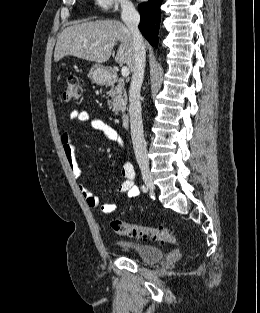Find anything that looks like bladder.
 <instances>
[{
  "label": "bladder",
  "instance_id": "bladder-1",
  "mask_svg": "<svg viewBox=\"0 0 260 313\" xmlns=\"http://www.w3.org/2000/svg\"><path fill=\"white\" fill-rule=\"evenodd\" d=\"M115 243L126 251L135 254L143 262L159 261L164 256L160 248L152 245L122 240H116Z\"/></svg>",
  "mask_w": 260,
  "mask_h": 313
}]
</instances>
